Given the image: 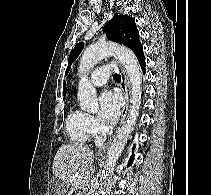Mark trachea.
<instances>
[{
	"instance_id": "1",
	"label": "trachea",
	"mask_w": 211,
	"mask_h": 195,
	"mask_svg": "<svg viewBox=\"0 0 211 195\" xmlns=\"http://www.w3.org/2000/svg\"><path fill=\"white\" fill-rule=\"evenodd\" d=\"M114 79H115L116 81H121V77H120L119 74H114Z\"/></svg>"
}]
</instances>
